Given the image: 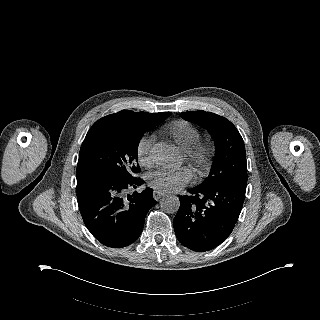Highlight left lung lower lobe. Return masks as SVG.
I'll list each match as a JSON object with an SVG mask.
<instances>
[{
  "mask_svg": "<svg viewBox=\"0 0 320 320\" xmlns=\"http://www.w3.org/2000/svg\"><path fill=\"white\" fill-rule=\"evenodd\" d=\"M180 196L174 218L178 240L194 251H207L221 244L232 232L240 215L246 181L229 179L216 186L193 187Z\"/></svg>",
  "mask_w": 320,
  "mask_h": 320,
  "instance_id": "obj_1",
  "label": "left lung lower lobe"
}]
</instances>
